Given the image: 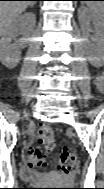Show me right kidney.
Segmentation results:
<instances>
[{"label":"right kidney","instance_id":"1","mask_svg":"<svg viewBox=\"0 0 104 189\" xmlns=\"http://www.w3.org/2000/svg\"><path fill=\"white\" fill-rule=\"evenodd\" d=\"M36 22V17L33 13H25L18 17L12 23L9 30L2 35L0 39V61L8 68H14L20 61L21 48L25 47L28 42V37H22L15 40L16 36L25 28H33ZM12 40H15L12 43Z\"/></svg>","mask_w":104,"mask_h":189}]
</instances>
